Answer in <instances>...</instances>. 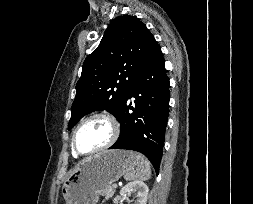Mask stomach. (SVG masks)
<instances>
[{
	"label": "stomach",
	"instance_id": "obj_1",
	"mask_svg": "<svg viewBox=\"0 0 253 204\" xmlns=\"http://www.w3.org/2000/svg\"><path fill=\"white\" fill-rule=\"evenodd\" d=\"M131 151L109 150L83 160L62 187L66 204H96L99 195L136 167Z\"/></svg>",
	"mask_w": 253,
	"mask_h": 204
}]
</instances>
